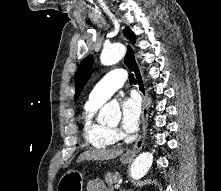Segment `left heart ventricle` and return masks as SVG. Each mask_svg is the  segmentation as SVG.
<instances>
[{
	"label": "left heart ventricle",
	"mask_w": 221,
	"mask_h": 191,
	"mask_svg": "<svg viewBox=\"0 0 221 191\" xmlns=\"http://www.w3.org/2000/svg\"><path fill=\"white\" fill-rule=\"evenodd\" d=\"M117 124H118V121H117V122H115V123H113L111 126H112V127H116V126H117Z\"/></svg>",
	"instance_id": "obj_1"
}]
</instances>
